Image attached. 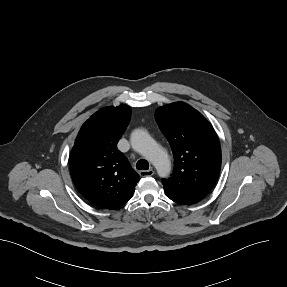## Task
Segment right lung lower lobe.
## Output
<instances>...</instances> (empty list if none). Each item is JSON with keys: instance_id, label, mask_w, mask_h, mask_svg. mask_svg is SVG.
I'll use <instances>...</instances> for the list:
<instances>
[{"instance_id": "right-lung-lower-lobe-1", "label": "right lung lower lobe", "mask_w": 287, "mask_h": 287, "mask_svg": "<svg viewBox=\"0 0 287 287\" xmlns=\"http://www.w3.org/2000/svg\"><path fill=\"white\" fill-rule=\"evenodd\" d=\"M125 203H126V202H125ZM125 203H123V204H125ZM123 204L119 205L118 207H116V208H114V209H117V208L121 207Z\"/></svg>"}]
</instances>
